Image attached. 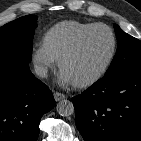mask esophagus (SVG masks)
Segmentation results:
<instances>
[{"mask_svg":"<svg viewBox=\"0 0 141 141\" xmlns=\"http://www.w3.org/2000/svg\"><path fill=\"white\" fill-rule=\"evenodd\" d=\"M66 96L63 93H59V92H55L54 93V99L56 101H60L62 99H64Z\"/></svg>","mask_w":141,"mask_h":141,"instance_id":"34e87169","label":"esophagus"}]
</instances>
